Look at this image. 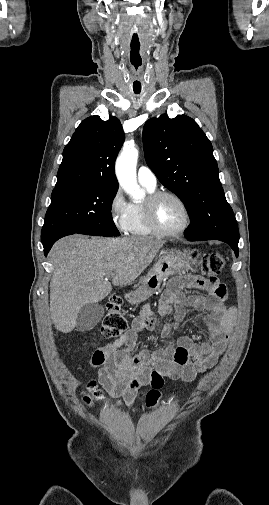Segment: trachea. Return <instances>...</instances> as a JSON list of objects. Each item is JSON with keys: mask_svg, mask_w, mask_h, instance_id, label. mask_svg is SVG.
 <instances>
[{"mask_svg": "<svg viewBox=\"0 0 269 505\" xmlns=\"http://www.w3.org/2000/svg\"><path fill=\"white\" fill-rule=\"evenodd\" d=\"M135 94H139V92H135Z\"/></svg>", "mask_w": 269, "mask_h": 505, "instance_id": "trachea-1", "label": "trachea"}]
</instances>
